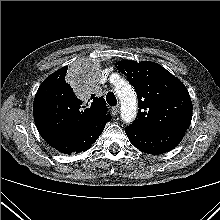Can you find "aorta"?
<instances>
[{
    "label": "aorta",
    "instance_id": "obj_1",
    "mask_svg": "<svg viewBox=\"0 0 220 220\" xmlns=\"http://www.w3.org/2000/svg\"><path fill=\"white\" fill-rule=\"evenodd\" d=\"M115 91L121 103V119L125 123L133 122L137 114V97L134 89L128 82L122 80L116 85Z\"/></svg>",
    "mask_w": 220,
    "mask_h": 220
}]
</instances>
